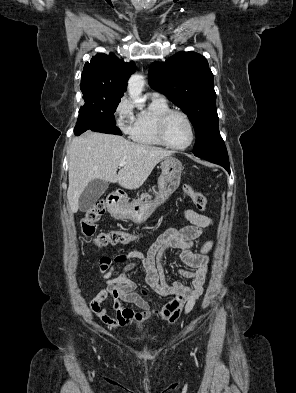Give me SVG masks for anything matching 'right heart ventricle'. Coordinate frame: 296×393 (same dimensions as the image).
Wrapping results in <instances>:
<instances>
[{"mask_svg":"<svg viewBox=\"0 0 296 393\" xmlns=\"http://www.w3.org/2000/svg\"><path fill=\"white\" fill-rule=\"evenodd\" d=\"M169 110L171 109L167 101L152 97L148 106L136 116L132 133L133 140L144 146H162L158 138L157 127L161 116Z\"/></svg>","mask_w":296,"mask_h":393,"instance_id":"1","label":"right heart ventricle"}]
</instances>
